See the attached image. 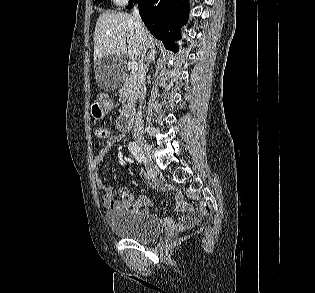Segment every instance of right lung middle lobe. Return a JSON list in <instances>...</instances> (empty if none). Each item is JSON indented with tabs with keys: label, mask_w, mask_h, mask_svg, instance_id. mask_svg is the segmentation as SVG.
I'll use <instances>...</instances> for the list:
<instances>
[{
	"label": "right lung middle lobe",
	"mask_w": 315,
	"mask_h": 293,
	"mask_svg": "<svg viewBox=\"0 0 315 293\" xmlns=\"http://www.w3.org/2000/svg\"><path fill=\"white\" fill-rule=\"evenodd\" d=\"M95 1L100 3V2H102L103 0H95Z\"/></svg>",
	"instance_id": "dd1d6c3e"
}]
</instances>
